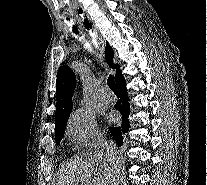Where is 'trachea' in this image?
Segmentation results:
<instances>
[{"label": "trachea", "mask_w": 207, "mask_h": 185, "mask_svg": "<svg viewBox=\"0 0 207 185\" xmlns=\"http://www.w3.org/2000/svg\"><path fill=\"white\" fill-rule=\"evenodd\" d=\"M73 31H74V33H78L76 27H73ZM107 83H108L109 87L111 88V90H113V92L115 94H118V90H117L114 78L111 75H109Z\"/></svg>", "instance_id": "1"}]
</instances>
